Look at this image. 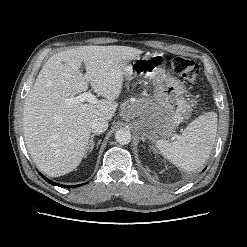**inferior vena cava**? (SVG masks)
Returning a JSON list of instances; mask_svg holds the SVG:
<instances>
[{"mask_svg": "<svg viewBox=\"0 0 247 247\" xmlns=\"http://www.w3.org/2000/svg\"><path fill=\"white\" fill-rule=\"evenodd\" d=\"M92 131L98 134L105 132L108 128V121L103 117H96L91 123Z\"/></svg>", "mask_w": 247, "mask_h": 247, "instance_id": "1", "label": "inferior vena cava"}]
</instances>
